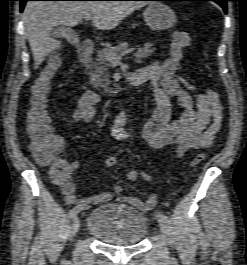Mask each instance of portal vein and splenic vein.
<instances>
[{
  "label": "portal vein and splenic vein",
  "mask_w": 247,
  "mask_h": 265,
  "mask_svg": "<svg viewBox=\"0 0 247 265\" xmlns=\"http://www.w3.org/2000/svg\"><path fill=\"white\" fill-rule=\"evenodd\" d=\"M85 19L88 21V20L91 19V16L90 15L85 16ZM133 51H134L133 48L126 49L120 55H109L108 58H109L110 62H112V63H118L123 56H125V55H127V54H129V53H131Z\"/></svg>",
  "instance_id": "18ae733b"
}]
</instances>
